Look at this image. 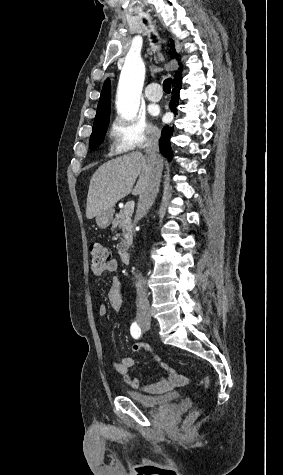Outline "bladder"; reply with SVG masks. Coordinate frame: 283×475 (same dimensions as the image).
<instances>
[{
  "label": "bladder",
  "instance_id": "bladder-1",
  "mask_svg": "<svg viewBox=\"0 0 283 475\" xmlns=\"http://www.w3.org/2000/svg\"><path fill=\"white\" fill-rule=\"evenodd\" d=\"M126 397L131 399L134 403L140 405L142 408L151 410L159 405L166 404V405H173L178 404L180 399L179 393L168 392L159 397L149 396L142 392L127 389L125 391Z\"/></svg>",
  "mask_w": 283,
  "mask_h": 475
}]
</instances>
